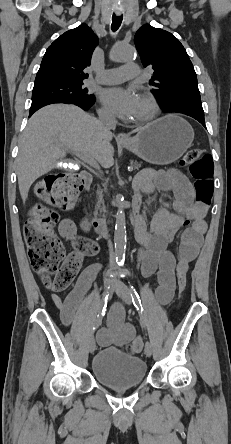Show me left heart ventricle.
Listing matches in <instances>:
<instances>
[{
	"label": "left heart ventricle",
	"instance_id": "left-heart-ventricle-1",
	"mask_svg": "<svg viewBox=\"0 0 231 444\" xmlns=\"http://www.w3.org/2000/svg\"><path fill=\"white\" fill-rule=\"evenodd\" d=\"M147 111H148V107H147L146 103L141 98H139L137 110H136L133 118L138 117V116L146 113Z\"/></svg>",
	"mask_w": 231,
	"mask_h": 444
}]
</instances>
